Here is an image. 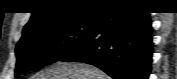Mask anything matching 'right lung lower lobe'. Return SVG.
<instances>
[{
	"label": "right lung lower lobe",
	"instance_id": "right-lung-lower-lobe-1",
	"mask_svg": "<svg viewBox=\"0 0 177 79\" xmlns=\"http://www.w3.org/2000/svg\"><path fill=\"white\" fill-rule=\"evenodd\" d=\"M152 53L149 12L113 6L95 20L88 38L59 61L95 65L114 79H148Z\"/></svg>",
	"mask_w": 177,
	"mask_h": 79
}]
</instances>
